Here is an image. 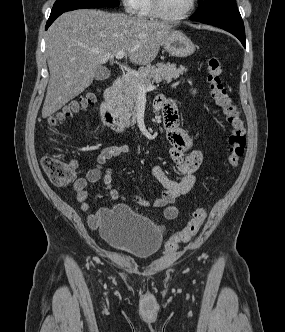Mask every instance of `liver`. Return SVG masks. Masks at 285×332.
<instances>
[{
	"mask_svg": "<svg viewBox=\"0 0 285 332\" xmlns=\"http://www.w3.org/2000/svg\"><path fill=\"white\" fill-rule=\"evenodd\" d=\"M170 31L164 22L101 10L62 14L47 31L50 79L42 117L51 116L81 94L93 82L97 66L118 51L127 52L136 65L150 64Z\"/></svg>",
	"mask_w": 285,
	"mask_h": 332,
	"instance_id": "1",
	"label": "liver"
}]
</instances>
